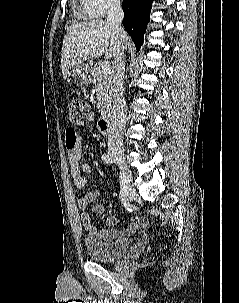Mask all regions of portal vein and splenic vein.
I'll use <instances>...</instances> for the list:
<instances>
[{
  "mask_svg": "<svg viewBox=\"0 0 239 303\" xmlns=\"http://www.w3.org/2000/svg\"><path fill=\"white\" fill-rule=\"evenodd\" d=\"M110 67H111L110 62L109 61H104L100 65V70H101L102 73H108V72H110Z\"/></svg>",
  "mask_w": 239,
  "mask_h": 303,
  "instance_id": "obj_1",
  "label": "portal vein and splenic vein"
}]
</instances>
